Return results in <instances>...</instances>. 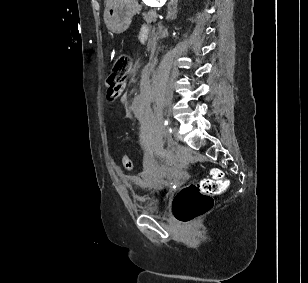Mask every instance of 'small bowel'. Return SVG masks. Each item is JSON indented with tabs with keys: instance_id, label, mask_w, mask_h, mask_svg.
<instances>
[{
	"instance_id": "1",
	"label": "small bowel",
	"mask_w": 308,
	"mask_h": 283,
	"mask_svg": "<svg viewBox=\"0 0 308 283\" xmlns=\"http://www.w3.org/2000/svg\"><path fill=\"white\" fill-rule=\"evenodd\" d=\"M107 99L112 102L121 97L122 104L124 106L125 117L130 118L135 116L137 119H144L147 114V97L145 94H138L130 103L127 101V96L123 94L125 85L112 86L108 82L106 83Z\"/></svg>"
}]
</instances>
